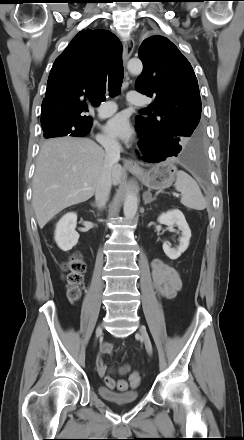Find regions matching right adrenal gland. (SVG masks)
<instances>
[{
    "instance_id": "2a0ac1e0",
    "label": "right adrenal gland",
    "mask_w": 244,
    "mask_h": 440,
    "mask_svg": "<svg viewBox=\"0 0 244 440\" xmlns=\"http://www.w3.org/2000/svg\"><path fill=\"white\" fill-rule=\"evenodd\" d=\"M92 206H93V207H96V205H95V204H92Z\"/></svg>"
}]
</instances>
